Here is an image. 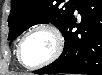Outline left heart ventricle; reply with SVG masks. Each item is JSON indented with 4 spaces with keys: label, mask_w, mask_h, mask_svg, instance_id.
I'll return each mask as SVG.
<instances>
[{
    "label": "left heart ventricle",
    "mask_w": 102,
    "mask_h": 75,
    "mask_svg": "<svg viewBox=\"0 0 102 75\" xmlns=\"http://www.w3.org/2000/svg\"><path fill=\"white\" fill-rule=\"evenodd\" d=\"M55 50V39L46 30H38L30 34L22 46V58L26 64L34 61H44Z\"/></svg>",
    "instance_id": "obj_1"
}]
</instances>
